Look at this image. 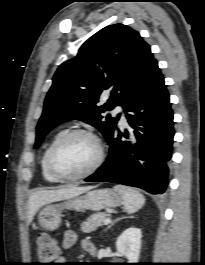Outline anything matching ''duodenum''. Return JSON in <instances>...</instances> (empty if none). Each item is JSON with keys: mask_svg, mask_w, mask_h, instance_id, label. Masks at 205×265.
Segmentation results:
<instances>
[{"mask_svg": "<svg viewBox=\"0 0 205 265\" xmlns=\"http://www.w3.org/2000/svg\"><path fill=\"white\" fill-rule=\"evenodd\" d=\"M86 251L89 255L94 256L96 253L95 246L91 244L90 246L87 247Z\"/></svg>", "mask_w": 205, "mask_h": 265, "instance_id": "obj_1", "label": "duodenum"}]
</instances>
